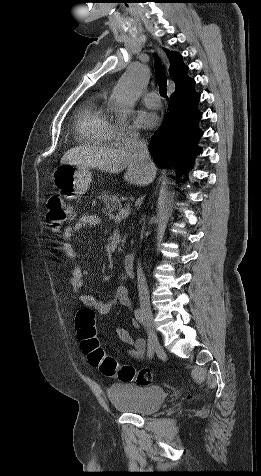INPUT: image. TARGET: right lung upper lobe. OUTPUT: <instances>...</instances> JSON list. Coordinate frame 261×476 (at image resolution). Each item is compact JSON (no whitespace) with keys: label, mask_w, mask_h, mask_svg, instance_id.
<instances>
[{"label":"right lung upper lobe","mask_w":261,"mask_h":476,"mask_svg":"<svg viewBox=\"0 0 261 476\" xmlns=\"http://www.w3.org/2000/svg\"><path fill=\"white\" fill-rule=\"evenodd\" d=\"M170 61V74L174 79L176 88L181 86L189 77L187 76L188 67L181 60L178 53L165 50Z\"/></svg>","instance_id":"obj_1"}]
</instances>
